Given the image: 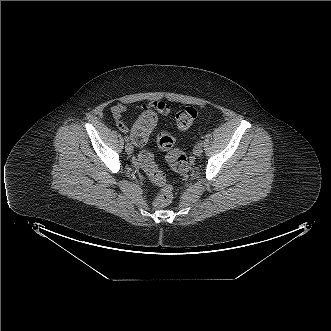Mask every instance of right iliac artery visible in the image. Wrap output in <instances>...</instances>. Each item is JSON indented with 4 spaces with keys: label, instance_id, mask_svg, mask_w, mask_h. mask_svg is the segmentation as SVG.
Listing matches in <instances>:
<instances>
[{
    "label": "right iliac artery",
    "instance_id": "obj_1",
    "mask_svg": "<svg viewBox=\"0 0 331 331\" xmlns=\"http://www.w3.org/2000/svg\"><path fill=\"white\" fill-rule=\"evenodd\" d=\"M124 139H125L126 142H129V137L128 136H125Z\"/></svg>",
    "mask_w": 331,
    "mask_h": 331
}]
</instances>
